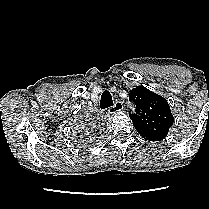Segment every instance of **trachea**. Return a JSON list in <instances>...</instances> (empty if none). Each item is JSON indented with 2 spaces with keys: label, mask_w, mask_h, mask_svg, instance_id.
<instances>
[{
  "label": "trachea",
  "mask_w": 209,
  "mask_h": 209,
  "mask_svg": "<svg viewBox=\"0 0 209 209\" xmlns=\"http://www.w3.org/2000/svg\"><path fill=\"white\" fill-rule=\"evenodd\" d=\"M113 106L112 96L109 91L105 90L101 95L100 107L106 109Z\"/></svg>",
  "instance_id": "3493384b"
}]
</instances>
